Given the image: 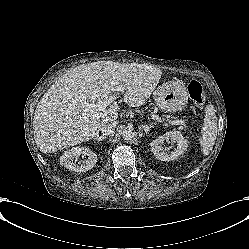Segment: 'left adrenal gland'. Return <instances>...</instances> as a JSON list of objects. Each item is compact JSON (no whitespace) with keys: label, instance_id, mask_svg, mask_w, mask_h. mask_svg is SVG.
Returning a JSON list of instances; mask_svg holds the SVG:
<instances>
[{"label":"left adrenal gland","instance_id":"left-adrenal-gland-1","mask_svg":"<svg viewBox=\"0 0 249 249\" xmlns=\"http://www.w3.org/2000/svg\"><path fill=\"white\" fill-rule=\"evenodd\" d=\"M154 127V124L153 125H142V128L146 131V132H149L152 128Z\"/></svg>","mask_w":249,"mask_h":249}]
</instances>
